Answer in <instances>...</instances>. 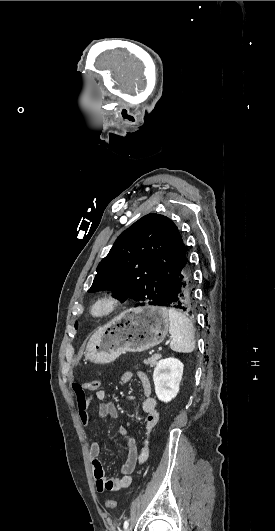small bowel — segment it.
<instances>
[{
	"mask_svg": "<svg viewBox=\"0 0 275 531\" xmlns=\"http://www.w3.org/2000/svg\"><path fill=\"white\" fill-rule=\"evenodd\" d=\"M137 378L139 380L142 391V413L145 416V426L147 434L156 426L159 421V408L158 401L153 395L152 383L144 371L137 372ZM134 373L132 371H125L121 376V382L127 384L132 381ZM71 392L74 397L81 398L84 396V385L82 383H73L71 385ZM107 392L104 389L98 390L95 394V399L99 401L98 415L101 421L110 417L117 419L119 417V411L113 402L107 401ZM129 400H134L135 396H128ZM93 401V397L85 396L78 400L77 405L80 407V420L83 426L90 424L89 406ZM121 435L126 441L127 455L126 460L121 468V475L107 479L104 476L103 466L100 460L102 453V446L99 441H94L89 449V457L92 462L93 475L95 478L96 489L98 492L103 493L105 491H119L127 488L131 484L132 474L135 468L143 463L147 459V450L144 449L138 452L137 444L133 435L125 428L120 429Z\"/></svg>",
	"mask_w": 275,
	"mask_h": 531,
	"instance_id": "1",
	"label": "small bowel"
}]
</instances>
